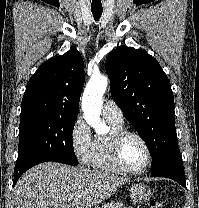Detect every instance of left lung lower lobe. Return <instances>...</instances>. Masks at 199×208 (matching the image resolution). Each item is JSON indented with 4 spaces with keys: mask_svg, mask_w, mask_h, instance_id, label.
<instances>
[{
    "mask_svg": "<svg viewBox=\"0 0 199 208\" xmlns=\"http://www.w3.org/2000/svg\"><path fill=\"white\" fill-rule=\"evenodd\" d=\"M152 177H167L186 187L184 167L179 148L170 152L159 164L152 167Z\"/></svg>",
    "mask_w": 199,
    "mask_h": 208,
    "instance_id": "obj_1",
    "label": "left lung lower lobe"
}]
</instances>
